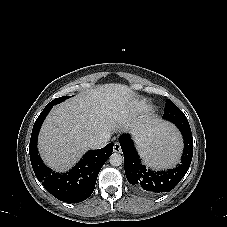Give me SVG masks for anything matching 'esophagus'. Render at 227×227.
<instances>
[{
	"label": "esophagus",
	"mask_w": 227,
	"mask_h": 227,
	"mask_svg": "<svg viewBox=\"0 0 227 227\" xmlns=\"http://www.w3.org/2000/svg\"><path fill=\"white\" fill-rule=\"evenodd\" d=\"M114 152H116V153L121 152V146L118 142L114 143Z\"/></svg>",
	"instance_id": "1"
}]
</instances>
